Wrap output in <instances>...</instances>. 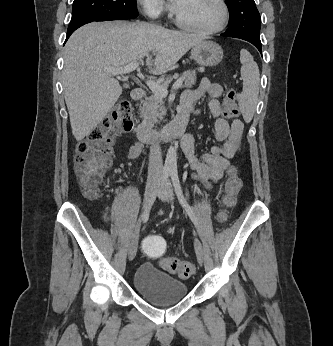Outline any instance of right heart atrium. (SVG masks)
Returning <instances> with one entry per match:
<instances>
[{
    "label": "right heart atrium",
    "mask_w": 333,
    "mask_h": 346,
    "mask_svg": "<svg viewBox=\"0 0 333 346\" xmlns=\"http://www.w3.org/2000/svg\"><path fill=\"white\" fill-rule=\"evenodd\" d=\"M145 14L152 19L161 18L167 11L164 0H138Z\"/></svg>",
    "instance_id": "obj_1"
}]
</instances>
